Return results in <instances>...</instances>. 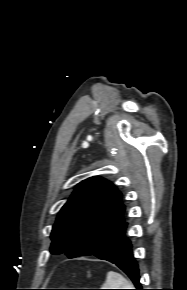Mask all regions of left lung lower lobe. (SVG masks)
Masks as SVG:
<instances>
[{
	"instance_id": "obj_1",
	"label": "left lung lower lobe",
	"mask_w": 187,
	"mask_h": 290,
	"mask_svg": "<svg viewBox=\"0 0 187 290\" xmlns=\"http://www.w3.org/2000/svg\"><path fill=\"white\" fill-rule=\"evenodd\" d=\"M126 227L127 224L123 221L92 255L116 264L129 276L136 290H143L140 284L138 265L132 254L131 243L125 236Z\"/></svg>"
}]
</instances>
